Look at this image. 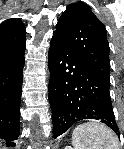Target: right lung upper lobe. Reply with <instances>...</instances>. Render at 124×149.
I'll use <instances>...</instances> for the list:
<instances>
[{"label":"right lung upper lobe","instance_id":"right-lung-upper-lobe-1","mask_svg":"<svg viewBox=\"0 0 124 149\" xmlns=\"http://www.w3.org/2000/svg\"><path fill=\"white\" fill-rule=\"evenodd\" d=\"M25 27L19 19H9L0 24V45L14 44L25 39Z\"/></svg>","mask_w":124,"mask_h":149}]
</instances>
